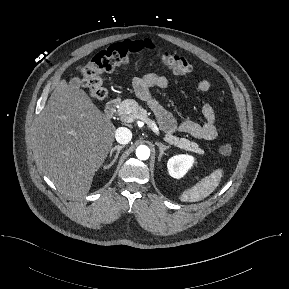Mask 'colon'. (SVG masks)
<instances>
[{
  "mask_svg": "<svg viewBox=\"0 0 289 289\" xmlns=\"http://www.w3.org/2000/svg\"><path fill=\"white\" fill-rule=\"evenodd\" d=\"M143 53H155L161 65L174 74L187 75L191 71V64L182 55L158 51L150 40H126L99 51L82 67V85L93 98L104 99L106 89L101 75L114 71L118 66L127 64L131 58ZM217 150L219 154L227 156L232 153L233 148L229 144H221Z\"/></svg>",
  "mask_w": 289,
  "mask_h": 289,
  "instance_id": "5ec220e1",
  "label": "colon"
}]
</instances>
